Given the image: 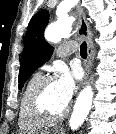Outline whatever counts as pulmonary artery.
Masks as SVG:
<instances>
[{
    "label": "pulmonary artery",
    "mask_w": 116,
    "mask_h": 134,
    "mask_svg": "<svg viewBox=\"0 0 116 134\" xmlns=\"http://www.w3.org/2000/svg\"><path fill=\"white\" fill-rule=\"evenodd\" d=\"M77 51V43L74 41L62 44L58 49L59 56H67Z\"/></svg>",
    "instance_id": "pulmonary-artery-1"
}]
</instances>
